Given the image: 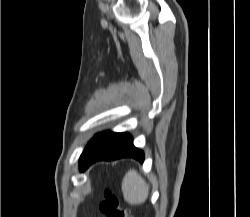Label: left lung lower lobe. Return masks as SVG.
I'll return each instance as SVG.
<instances>
[{"label":"left lung lower lobe","instance_id":"1","mask_svg":"<svg viewBox=\"0 0 250 217\" xmlns=\"http://www.w3.org/2000/svg\"><path fill=\"white\" fill-rule=\"evenodd\" d=\"M132 157L144 161L143 151L133 145L128 133L104 132L94 136L80 157V170H86L91 164L100 160H115Z\"/></svg>","mask_w":250,"mask_h":217}]
</instances>
